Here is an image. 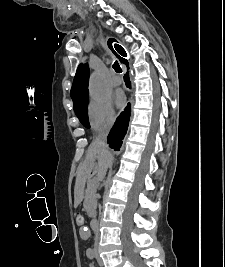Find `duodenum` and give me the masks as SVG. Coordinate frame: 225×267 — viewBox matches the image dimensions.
Wrapping results in <instances>:
<instances>
[{"instance_id":"1","label":"duodenum","mask_w":225,"mask_h":267,"mask_svg":"<svg viewBox=\"0 0 225 267\" xmlns=\"http://www.w3.org/2000/svg\"><path fill=\"white\" fill-rule=\"evenodd\" d=\"M91 228L96 230L98 228V220L96 218H92L91 220Z\"/></svg>"}]
</instances>
